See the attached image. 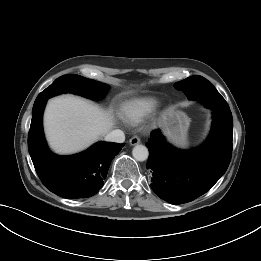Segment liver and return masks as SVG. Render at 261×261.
Masks as SVG:
<instances>
[{
  "label": "liver",
  "instance_id": "obj_1",
  "mask_svg": "<svg viewBox=\"0 0 261 261\" xmlns=\"http://www.w3.org/2000/svg\"><path fill=\"white\" fill-rule=\"evenodd\" d=\"M115 125L111 111L75 96L51 99L44 113V129L59 154L82 151L108 134Z\"/></svg>",
  "mask_w": 261,
  "mask_h": 261
}]
</instances>
